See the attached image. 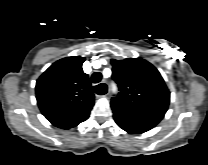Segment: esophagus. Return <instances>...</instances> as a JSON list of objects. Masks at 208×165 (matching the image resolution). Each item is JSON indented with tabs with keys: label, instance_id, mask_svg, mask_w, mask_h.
I'll return each mask as SVG.
<instances>
[{
	"label": "esophagus",
	"instance_id": "esophagus-1",
	"mask_svg": "<svg viewBox=\"0 0 208 165\" xmlns=\"http://www.w3.org/2000/svg\"><path fill=\"white\" fill-rule=\"evenodd\" d=\"M101 84L104 85V86L106 87V93H105L104 96L108 95V93H109L108 85H107L105 82H102Z\"/></svg>",
	"mask_w": 208,
	"mask_h": 165
}]
</instances>
